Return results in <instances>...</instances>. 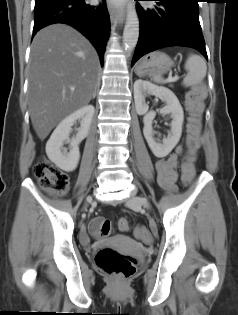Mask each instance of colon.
Here are the masks:
<instances>
[{
  "mask_svg": "<svg viewBox=\"0 0 238 315\" xmlns=\"http://www.w3.org/2000/svg\"><path fill=\"white\" fill-rule=\"evenodd\" d=\"M204 97L205 89L199 86L187 98L190 122L186 137L187 151L181 165L182 179L185 183L190 182L194 175L191 162L193 155L200 146L202 101ZM33 173L44 188L54 193L63 194L69 188L68 175L46 159H41L35 164ZM118 228L122 231L129 230V221L120 219ZM111 229V221L103 217L94 218L89 224V231L95 238L107 237L111 233ZM135 234L142 240L149 239L148 230L143 226L137 227ZM95 260L98 268L116 282L127 280L135 273L136 260L132 257L124 256L111 248L101 249L97 253Z\"/></svg>",
  "mask_w": 238,
  "mask_h": 315,
  "instance_id": "colon-1",
  "label": "colon"
}]
</instances>
